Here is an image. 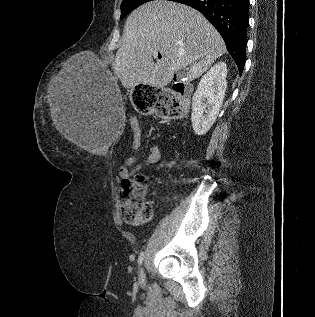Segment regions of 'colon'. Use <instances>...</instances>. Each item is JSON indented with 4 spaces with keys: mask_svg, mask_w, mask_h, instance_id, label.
<instances>
[{
    "mask_svg": "<svg viewBox=\"0 0 315 317\" xmlns=\"http://www.w3.org/2000/svg\"><path fill=\"white\" fill-rule=\"evenodd\" d=\"M157 97V113L164 118H179L186 109L185 93L181 89H161ZM134 142L141 143V129L137 123L132 124ZM121 215L124 221L134 225H141L151 220L152 206L147 200V179L135 174L121 183Z\"/></svg>",
    "mask_w": 315,
    "mask_h": 317,
    "instance_id": "1",
    "label": "colon"
}]
</instances>
